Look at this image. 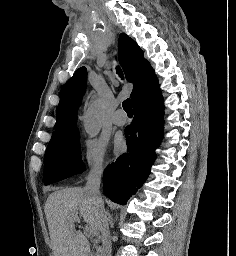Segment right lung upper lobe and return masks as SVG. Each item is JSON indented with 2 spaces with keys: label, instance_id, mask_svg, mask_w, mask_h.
<instances>
[{
  "label": "right lung upper lobe",
  "instance_id": "cb5924a9",
  "mask_svg": "<svg viewBox=\"0 0 236 256\" xmlns=\"http://www.w3.org/2000/svg\"><path fill=\"white\" fill-rule=\"evenodd\" d=\"M119 62L124 70L128 82L134 84L130 95L132 103L146 95L158 84L157 77L143 51L125 33L119 37ZM87 84L85 67L79 68L61 91L60 102L56 111L55 131L52 140L62 138L76 130V111L81 104L82 96Z\"/></svg>",
  "mask_w": 236,
  "mask_h": 256
}]
</instances>
